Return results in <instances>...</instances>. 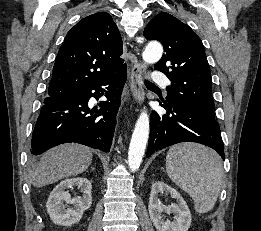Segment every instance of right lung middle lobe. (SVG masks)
I'll return each mask as SVG.
<instances>
[{
  "label": "right lung middle lobe",
  "instance_id": "dd1d6c3e",
  "mask_svg": "<svg viewBox=\"0 0 261 231\" xmlns=\"http://www.w3.org/2000/svg\"><path fill=\"white\" fill-rule=\"evenodd\" d=\"M60 99H63V98H55V97H47L44 101V103H50V102H54V101H57V100H60Z\"/></svg>",
  "mask_w": 261,
  "mask_h": 231
}]
</instances>
